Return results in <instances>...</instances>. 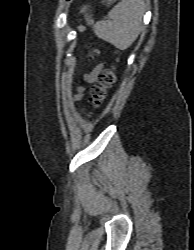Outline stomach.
Instances as JSON below:
<instances>
[{
  "label": "stomach",
  "mask_w": 194,
  "mask_h": 250,
  "mask_svg": "<svg viewBox=\"0 0 194 250\" xmlns=\"http://www.w3.org/2000/svg\"><path fill=\"white\" fill-rule=\"evenodd\" d=\"M106 2H107V4L109 5V4H111V2H112V0H106ZM87 11V7L86 6H84V7H82L81 8V13H84V12H86Z\"/></svg>",
  "instance_id": "0dacf381"
}]
</instances>
